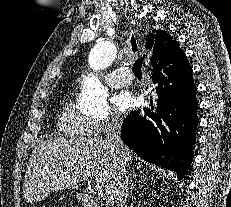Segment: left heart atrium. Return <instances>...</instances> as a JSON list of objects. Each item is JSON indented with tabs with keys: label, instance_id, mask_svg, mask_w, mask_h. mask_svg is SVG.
<instances>
[{
	"label": "left heart atrium",
	"instance_id": "1",
	"mask_svg": "<svg viewBox=\"0 0 231 207\" xmlns=\"http://www.w3.org/2000/svg\"><path fill=\"white\" fill-rule=\"evenodd\" d=\"M134 102L133 95L128 90H121L112 97V104L116 111L125 112Z\"/></svg>",
	"mask_w": 231,
	"mask_h": 207
}]
</instances>
